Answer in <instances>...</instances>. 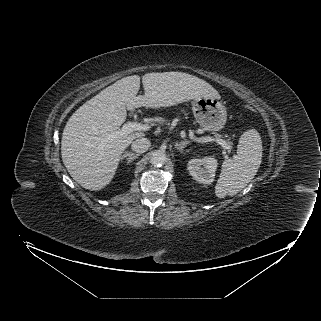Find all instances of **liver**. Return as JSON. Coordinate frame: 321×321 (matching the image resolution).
<instances>
[{
  "instance_id": "liver-1",
  "label": "liver",
  "mask_w": 321,
  "mask_h": 321,
  "mask_svg": "<svg viewBox=\"0 0 321 321\" xmlns=\"http://www.w3.org/2000/svg\"><path fill=\"white\" fill-rule=\"evenodd\" d=\"M124 77L84 103L69 118L61 141L62 160L71 177L82 187L97 191L108 185L123 151L135 132L112 137L126 119L127 109L170 107L202 97L220 98L206 81L182 72L147 73Z\"/></svg>"
}]
</instances>
